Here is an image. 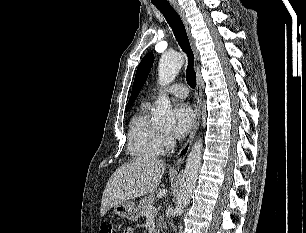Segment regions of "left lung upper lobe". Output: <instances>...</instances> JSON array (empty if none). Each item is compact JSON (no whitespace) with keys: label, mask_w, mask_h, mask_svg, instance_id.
<instances>
[{"label":"left lung upper lobe","mask_w":306,"mask_h":233,"mask_svg":"<svg viewBox=\"0 0 306 233\" xmlns=\"http://www.w3.org/2000/svg\"><path fill=\"white\" fill-rule=\"evenodd\" d=\"M153 61H154V55L153 53H149L140 62L136 71L135 80L132 88V94L126 106V111L130 108V106L137 98L145 80L147 79L149 71L153 65Z\"/></svg>","instance_id":"obj_1"}]
</instances>
